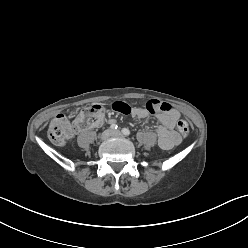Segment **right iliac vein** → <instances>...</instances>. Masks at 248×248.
I'll return each instance as SVG.
<instances>
[{
  "instance_id": "right-iliac-vein-1",
  "label": "right iliac vein",
  "mask_w": 248,
  "mask_h": 248,
  "mask_svg": "<svg viewBox=\"0 0 248 248\" xmlns=\"http://www.w3.org/2000/svg\"><path fill=\"white\" fill-rule=\"evenodd\" d=\"M112 132L110 130H105L101 136H100V139L101 140H107L110 136H111Z\"/></svg>"
}]
</instances>
